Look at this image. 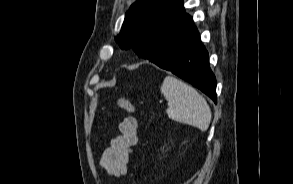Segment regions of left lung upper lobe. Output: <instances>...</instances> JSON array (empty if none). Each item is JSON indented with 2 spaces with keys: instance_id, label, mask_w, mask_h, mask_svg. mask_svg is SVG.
<instances>
[{
  "instance_id": "1",
  "label": "left lung upper lobe",
  "mask_w": 293,
  "mask_h": 184,
  "mask_svg": "<svg viewBox=\"0 0 293 184\" xmlns=\"http://www.w3.org/2000/svg\"><path fill=\"white\" fill-rule=\"evenodd\" d=\"M183 0H138L126 12L125 20L115 41L122 49L132 47L138 56L149 59L146 47L155 37L165 33L167 22L178 11Z\"/></svg>"
}]
</instances>
